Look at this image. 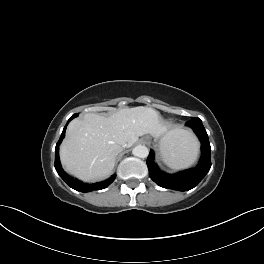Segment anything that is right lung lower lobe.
<instances>
[{
  "label": "right lung lower lobe",
  "mask_w": 264,
  "mask_h": 264,
  "mask_svg": "<svg viewBox=\"0 0 264 264\" xmlns=\"http://www.w3.org/2000/svg\"><path fill=\"white\" fill-rule=\"evenodd\" d=\"M77 116H78V114L72 115L71 118L68 120L67 124L69 123V121H71L73 118H75ZM67 124L63 129V132L61 134V137H60L58 143L56 144L55 169H56L57 173L71 188H73L77 191L83 192V193L91 192L93 190H101V189L106 188L115 180V177H116L115 174L112 175L109 179H107L105 181L94 183V184H87V183H83L79 180L73 179L71 176H69L67 173H65L64 170L62 169L61 164H60V160H59V145L65 136V130H66Z\"/></svg>",
  "instance_id": "1"
}]
</instances>
